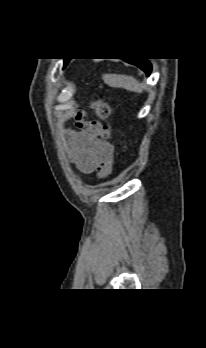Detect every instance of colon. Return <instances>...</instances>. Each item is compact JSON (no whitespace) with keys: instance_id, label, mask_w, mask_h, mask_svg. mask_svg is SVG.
<instances>
[{"instance_id":"5ec220e1","label":"colon","mask_w":206,"mask_h":348,"mask_svg":"<svg viewBox=\"0 0 206 348\" xmlns=\"http://www.w3.org/2000/svg\"><path fill=\"white\" fill-rule=\"evenodd\" d=\"M92 106L96 115L99 118L104 119L108 116L110 110L106 102L98 100V101H95ZM76 125L80 130L93 136H100L102 138H109L110 136L109 125L99 123L96 121H89L85 113L83 112L78 113L76 117Z\"/></svg>"}]
</instances>
